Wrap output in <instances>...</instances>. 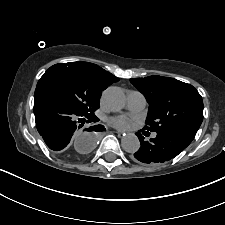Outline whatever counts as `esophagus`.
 Wrapping results in <instances>:
<instances>
[{
  "label": "esophagus",
  "mask_w": 225,
  "mask_h": 225,
  "mask_svg": "<svg viewBox=\"0 0 225 225\" xmlns=\"http://www.w3.org/2000/svg\"><path fill=\"white\" fill-rule=\"evenodd\" d=\"M116 133H117L118 135H123V134H124V131H122V130H117Z\"/></svg>",
  "instance_id": "1"
}]
</instances>
